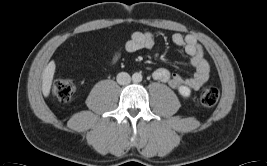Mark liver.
Listing matches in <instances>:
<instances>
[{
    "instance_id": "1",
    "label": "liver",
    "mask_w": 267,
    "mask_h": 166,
    "mask_svg": "<svg viewBox=\"0 0 267 166\" xmlns=\"http://www.w3.org/2000/svg\"><path fill=\"white\" fill-rule=\"evenodd\" d=\"M56 65L55 62L52 60L46 66L42 74V93L45 97H48L50 94V89L55 73Z\"/></svg>"
}]
</instances>
